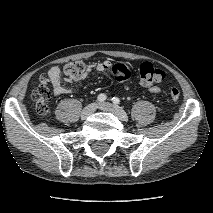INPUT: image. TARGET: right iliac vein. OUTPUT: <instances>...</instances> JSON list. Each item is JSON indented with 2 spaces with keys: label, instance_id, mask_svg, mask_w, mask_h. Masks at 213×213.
<instances>
[{
  "label": "right iliac vein",
  "instance_id": "right-iliac-vein-1",
  "mask_svg": "<svg viewBox=\"0 0 213 213\" xmlns=\"http://www.w3.org/2000/svg\"><path fill=\"white\" fill-rule=\"evenodd\" d=\"M97 105L95 103L87 105L81 112V118L86 119L92 115L96 110Z\"/></svg>",
  "mask_w": 213,
  "mask_h": 213
}]
</instances>
